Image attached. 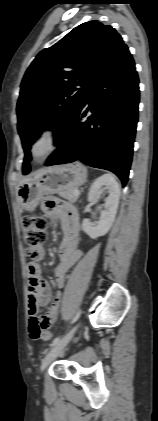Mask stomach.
<instances>
[{
    "label": "stomach",
    "instance_id": "stomach-1",
    "mask_svg": "<svg viewBox=\"0 0 158 421\" xmlns=\"http://www.w3.org/2000/svg\"><path fill=\"white\" fill-rule=\"evenodd\" d=\"M86 170L79 162L50 167L45 173L18 186L23 209L33 211L46 194L73 189L85 183Z\"/></svg>",
    "mask_w": 158,
    "mask_h": 421
}]
</instances>
